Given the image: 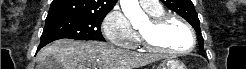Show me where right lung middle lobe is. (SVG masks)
<instances>
[{
  "label": "right lung middle lobe",
  "mask_w": 246,
  "mask_h": 69,
  "mask_svg": "<svg viewBox=\"0 0 246 69\" xmlns=\"http://www.w3.org/2000/svg\"><path fill=\"white\" fill-rule=\"evenodd\" d=\"M105 15H64L46 18L41 41L62 38L105 41L101 23Z\"/></svg>",
  "instance_id": "dd1d6c3e"
}]
</instances>
